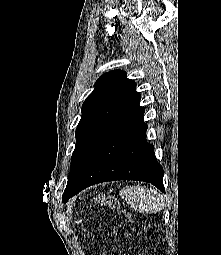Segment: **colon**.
Instances as JSON below:
<instances>
[{
    "label": "colon",
    "mask_w": 221,
    "mask_h": 255,
    "mask_svg": "<svg viewBox=\"0 0 221 255\" xmlns=\"http://www.w3.org/2000/svg\"><path fill=\"white\" fill-rule=\"evenodd\" d=\"M93 203L94 205L98 206V207H102V206H108L109 208L113 209V210H120V205H119V201L118 199L110 194V193H106V192H100L98 193L94 199H93ZM124 216H125V222L122 223L120 226L122 228L127 227L131 222H132V216L127 213L125 210H122ZM110 249L112 251L113 255H123L120 246L118 245V243L116 242V240L114 239Z\"/></svg>",
    "instance_id": "obj_1"
}]
</instances>
